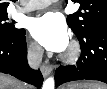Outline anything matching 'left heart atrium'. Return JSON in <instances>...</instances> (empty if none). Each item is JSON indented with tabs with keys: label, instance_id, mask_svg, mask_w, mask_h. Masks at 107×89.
<instances>
[{
	"label": "left heart atrium",
	"instance_id": "1",
	"mask_svg": "<svg viewBox=\"0 0 107 89\" xmlns=\"http://www.w3.org/2000/svg\"><path fill=\"white\" fill-rule=\"evenodd\" d=\"M31 34L39 44L50 51L62 52L68 46L69 37L65 22L52 12L32 21Z\"/></svg>",
	"mask_w": 107,
	"mask_h": 89
}]
</instances>
